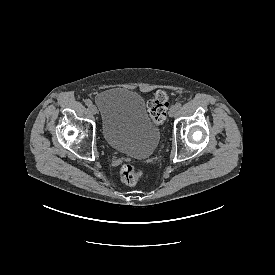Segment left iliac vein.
Returning a JSON list of instances; mask_svg holds the SVG:
<instances>
[{
    "mask_svg": "<svg viewBox=\"0 0 275 275\" xmlns=\"http://www.w3.org/2000/svg\"><path fill=\"white\" fill-rule=\"evenodd\" d=\"M176 110L177 108L175 107V105L171 106L169 109V116L173 117L176 114Z\"/></svg>",
    "mask_w": 275,
    "mask_h": 275,
    "instance_id": "1",
    "label": "left iliac vein"
}]
</instances>
